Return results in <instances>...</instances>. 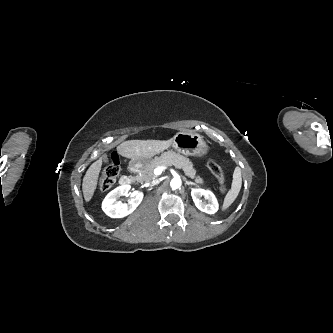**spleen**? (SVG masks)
I'll return each instance as SVG.
<instances>
[{
    "mask_svg": "<svg viewBox=\"0 0 333 333\" xmlns=\"http://www.w3.org/2000/svg\"><path fill=\"white\" fill-rule=\"evenodd\" d=\"M242 185V176H241V169L236 167L233 172V181L231 185V189L226 194L224 201H223V209L226 210L229 208L233 202L236 200Z\"/></svg>",
    "mask_w": 333,
    "mask_h": 333,
    "instance_id": "obj_1",
    "label": "spleen"
}]
</instances>
